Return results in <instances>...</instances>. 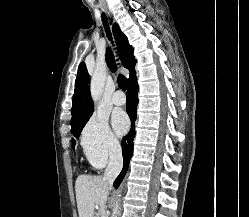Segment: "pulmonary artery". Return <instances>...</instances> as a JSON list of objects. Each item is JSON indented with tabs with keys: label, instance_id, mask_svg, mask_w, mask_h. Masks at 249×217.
Returning <instances> with one entry per match:
<instances>
[{
	"label": "pulmonary artery",
	"instance_id": "obj_1",
	"mask_svg": "<svg viewBox=\"0 0 249 217\" xmlns=\"http://www.w3.org/2000/svg\"><path fill=\"white\" fill-rule=\"evenodd\" d=\"M112 101L115 105L121 106V105L125 104L126 98H125V95L123 94V92L116 91L112 97Z\"/></svg>",
	"mask_w": 249,
	"mask_h": 217
}]
</instances>
